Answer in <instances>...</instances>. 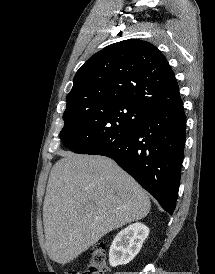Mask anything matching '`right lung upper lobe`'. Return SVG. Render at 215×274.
<instances>
[{"mask_svg":"<svg viewBox=\"0 0 215 274\" xmlns=\"http://www.w3.org/2000/svg\"><path fill=\"white\" fill-rule=\"evenodd\" d=\"M67 102L123 101L149 111L180 103L174 72L152 44L129 39L94 54L77 71Z\"/></svg>","mask_w":215,"mask_h":274,"instance_id":"obj_1","label":"right lung upper lobe"}]
</instances>
